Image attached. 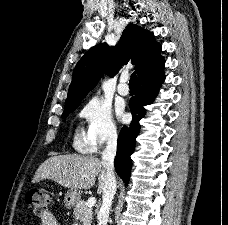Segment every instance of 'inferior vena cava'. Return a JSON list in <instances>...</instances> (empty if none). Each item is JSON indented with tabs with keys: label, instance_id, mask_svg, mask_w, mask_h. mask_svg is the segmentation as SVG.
Segmentation results:
<instances>
[{
	"label": "inferior vena cava",
	"instance_id": "602c4592",
	"mask_svg": "<svg viewBox=\"0 0 228 225\" xmlns=\"http://www.w3.org/2000/svg\"><path fill=\"white\" fill-rule=\"evenodd\" d=\"M117 149V133L111 131L106 149L102 153V165L106 171L105 183L102 191V205L97 211L98 225H107L109 209L116 193V177L114 175V159Z\"/></svg>",
	"mask_w": 228,
	"mask_h": 225
}]
</instances>
